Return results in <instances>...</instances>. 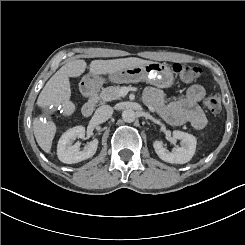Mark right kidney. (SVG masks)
<instances>
[{
  "mask_svg": "<svg viewBox=\"0 0 245 245\" xmlns=\"http://www.w3.org/2000/svg\"><path fill=\"white\" fill-rule=\"evenodd\" d=\"M85 136V128L83 126H75L65 131L57 145L58 159L67 164L80 162L94 155L97 149V141H91L80 148V144L72 145L73 140L83 138Z\"/></svg>",
  "mask_w": 245,
  "mask_h": 245,
  "instance_id": "right-kidney-1",
  "label": "right kidney"
}]
</instances>
